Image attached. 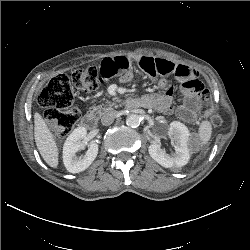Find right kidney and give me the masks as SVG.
<instances>
[{
    "label": "right kidney",
    "instance_id": "right-kidney-1",
    "mask_svg": "<svg viewBox=\"0 0 250 250\" xmlns=\"http://www.w3.org/2000/svg\"><path fill=\"white\" fill-rule=\"evenodd\" d=\"M84 127L76 128L66 139L63 146V163L70 173H79L87 169L98 154V145L92 143L83 157H77L76 153L82 149L81 140L86 137Z\"/></svg>",
    "mask_w": 250,
    "mask_h": 250
}]
</instances>
